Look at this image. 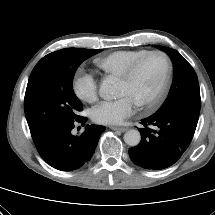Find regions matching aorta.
<instances>
[{"label":"aorta","mask_w":215,"mask_h":215,"mask_svg":"<svg viewBox=\"0 0 215 215\" xmlns=\"http://www.w3.org/2000/svg\"><path fill=\"white\" fill-rule=\"evenodd\" d=\"M99 95L105 100H111L118 95L117 79L111 76L102 80L99 88ZM124 141L129 146H137L141 141L140 132L136 129H131L124 134Z\"/></svg>","instance_id":"762f6f07"}]
</instances>
